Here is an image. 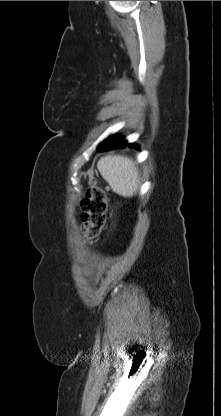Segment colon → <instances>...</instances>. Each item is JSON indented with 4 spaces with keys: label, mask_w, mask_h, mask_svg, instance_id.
Listing matches in <instances>:
<instances>
[{
    "label": "colon",
    "mask_w": 221,
    "mask_h": 416,
    "mask_svg": "<svg viewBox=\"0 0 221 416\" xmlns=\"http://www.w3.org/2000/svg\"><path fill=\"white\" fill-rule=\"evenodd\" d=\"M81 208L83 233L86 238L95 239L105 227L108 202L105 192L94 181L81 202Z\"/></svg>",
    "instance_id": "1"
}]
</instances>
